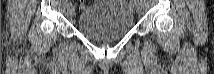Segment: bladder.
Masks as SVG:
<instances>
[{
	"label": "bladder",
	"instance_id": "obj_1",
	"mask_svg": "<svg viewBox=\"0 0 214 74\" xmlns=\"http://www.w3.org/2000/svg\"><path fill=\"white\" fill-rule=\"evenodd\" d=\"M121 1H101L77 19V30L91 40L111 41L124 37L133 27V13Z\"/></svg>",
	"mask_w": 214,
	"mask_h": 74
}]
</instances>
